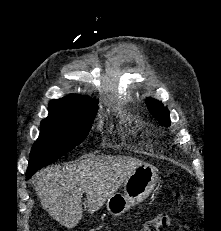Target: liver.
Listing matches in <instances>:
<instances>
[{
  "label": "liver",
  "instance_id": "obj_1",
  "mask_svg": "<svg viewBox=\"0 0 221 231\" xmlns=\"http://www.w3.org/2000/svg\"><path fill=\"white\" fill-rule=\"evenodd\" d=\"M142 161L127 156H89L65 166L41 170L35 178V190L43 208L67 228L75 227L82 218V196L94 213L113 196L126 178Z\"/></svg>",
  "mask_w": 221,
  "mask_h": 231
}]
</instances>
